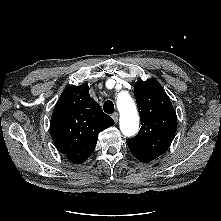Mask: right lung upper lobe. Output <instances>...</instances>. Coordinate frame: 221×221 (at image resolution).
<instances>
[{"label":"right lung upper lobe","instance_id":"cb5924a9","mask_svg":"<svg viewBox=\"0 0 221 221\" xmlns=\"http://www.w3.org/2000/svg\"><path fill=\"white\" fill-rule=\"evenodd\" d=\"M89 95V86H69L57 101L50 122L53 141L62 154L75 163L85 162L93 153L99 132L112 126Z\"/></svg>","mask_w":221,"mask_h":221}]
</instances>
